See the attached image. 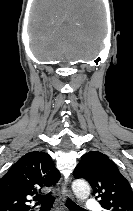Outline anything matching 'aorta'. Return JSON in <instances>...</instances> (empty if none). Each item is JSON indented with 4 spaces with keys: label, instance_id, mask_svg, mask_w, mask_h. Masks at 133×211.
<instances>
[{
    "label": "aorta",
    "instance_id": "762f6f07",
    "mask_svg": "<svg viewBox=\"0 0 133 211\" xmlns=\"http://www.w3.org/2000/svg\"><path fill=\"white\" fill-rule=\"evenodd\" d=\"M75 196L80 200H86L90 195V186L83 179H77L72 183Z\"/></svg>",
    "mask_w": 133,
    "mask_h": 211
}]
</instances>
